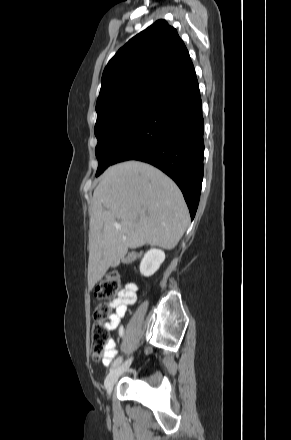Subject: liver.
<instances>
[{
	"label": "liver",
	"instance_id": "liver-1",
	"mask_svg": "<svg viewBox=\"0 0 291 440\" xmlns=\"http://www.w3.org/2000/svg\"><path fill=\"white\" fill-rule=\"evenodd\" d=\"M188 224L189 212L180 189L159 169L140 161L109 167L93 193L89 288L110 267L119 266L129 248L147 243L173 249Z\"/></svg>",
	"mask_w": 291,
	"mask_h": 440
}]
</instances>
